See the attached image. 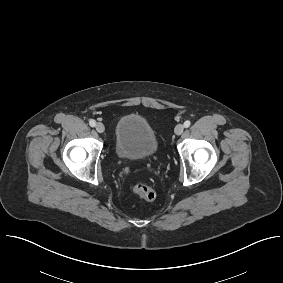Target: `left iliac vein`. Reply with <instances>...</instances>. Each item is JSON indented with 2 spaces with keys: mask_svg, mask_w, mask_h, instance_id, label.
Returning <instances> with one entry per match:
<instances>
[{
  "mask_svg": "<svg viewBox=\"0 0 283 283\" xmlns=\"http://www.w3.org/2000/svg\"><path fill=\"white\" fill-rule=\"evenodd\" d=\"M184 130V126L182 124L176 125L174 132L176 135H181Z\"/></svg>",
  "mask_w": 283,
  "mask_h": 283,
  "instance_id": "obj_1",
  "label": "left iliac vein"
}]
</instances>
